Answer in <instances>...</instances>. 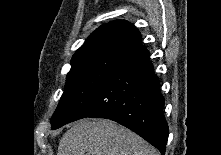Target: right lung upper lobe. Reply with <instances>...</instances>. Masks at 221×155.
<instances>
[{
  "label": "right lung upper lobe",
  "instance_id": "1",
  "mask_svg": "<svg viewBox=\"0 0 221 155\" xmlns=\"http://www.w3.org/2000/svg\"><path fill=\"white\" fill-rule=\"evenodd\" d=\"M141 44L139 31L126 21H113L100 26L73 55L71 63L102 54L125 57Z\"/></svg>",
  "mask_w": 221,
  "mask_h": 155
}]
</instances>
